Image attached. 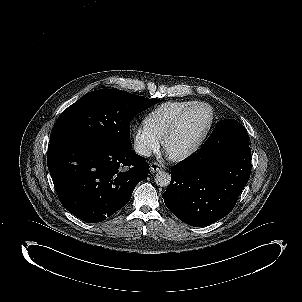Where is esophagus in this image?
Segmentation results:
<instances>
[{
	"mask_svg": "<svg viewBox=\"0 0 302 302\" xmlns=\"http://www.w3.org/2000/svg\"><path fill=\"white\" fill-rule=\"evenodd\" d=\"M163 166L157 162L150 163V172L155 173L162 170Z\"/></svg>",
	"mask_w": 302,
	"mask_h": 302,
	"instance_id": "obj_1",
	"label": "esophagus"
}]
</instances>
